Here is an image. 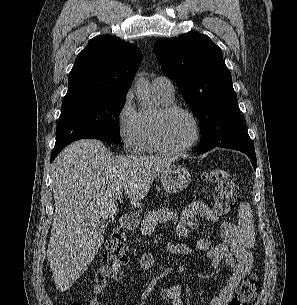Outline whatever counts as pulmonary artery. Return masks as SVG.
Masks as SVG:
<instances>
[{
  "label": "pulmonary artery",
  "instance_id": "1",
  "mask_svg": "<svg viewBox=\"0 0 297 305\" xmlns=\"http://www.w3.org/2000/svg\"><path fill=\"white\" fill-rule=\"evenodd\" d=\"M152 89L167 99H174L175 88L172 81L166 76H159L153 79Z\"/></svg>",
  "mask_w": 297,
  "mask_h": 305
}]
</instances>
